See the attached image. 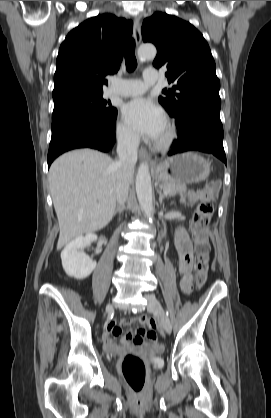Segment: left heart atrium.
Wrapping results in <instances>:
<instances>
[{
  "label": "left heart atrium",
  "mask_w": 271,
  "mask_h": 418,
  "mask_svg": "<svg viewBox=\"0 0 271 418\" xmlns=\"http://www.w3.org/2000/svg\"><path fill=\"white\" fill-rule=\"evenodd\" d=\"M124 118L127 124L137 133L156 140L166 127L163 111L151 100L137 98L124 107Z\"/></svg>",
  "instance_id": "left-heart-atrium-1"
}]
</instances>
